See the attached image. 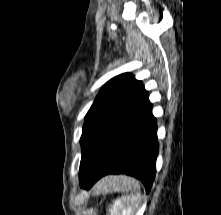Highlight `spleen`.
<instances>
[{"label": "spleen", "instance_id": "3e777b00", "mask_svg": "<svg viewBox=\"0 0 221 215\" xmlns=\"http://www.w3.org/2000/svg\"><path fill=\"white\" fill-rule=\"evenodd\" d=\"M108 182L110 183V187L115 190L126 188L139 189V185L135 180L124 176L111 177L108 179ZM140 201V192H136L135 194L132 192L130 196H122L116 199L109 208V212L111 215H133Z\"/></svg>", "mask_w": 221, "mask_h": 215}]
</instances>
